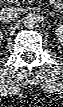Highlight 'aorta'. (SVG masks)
<instances>
[{"mask_svg":"<svg viewBox=\"0 0 63 107\" xmlns=\"http://www.w3.org/2000/svg\"><path fill=\"white\" fill-rule=\"evenodd\" d=\"M40 24V17L35 13H28L24 16V25L27 28H36Z\"/></svg>","mask_w":63,"mask_h":107,"instance_id":"762f6f07","label":"aorta"}]
</instances>
